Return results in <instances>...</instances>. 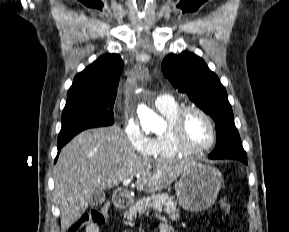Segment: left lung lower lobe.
<instances>
[{"instance_id":"1","label":"left lung lower lobe","mask_w":289,"mask_h":232,"mask_svg":"<svg viewBox=\"0 0 289 232\" xmlns=\"http://www.w3.org/2000/svg\"><path fill=\"white\" fill-rule=\"evenodd\" d=\"M229 159H237V160H240V161L244 162L245 164H247V160L244 158H229Z\"/></svg>"}]
</instances>
